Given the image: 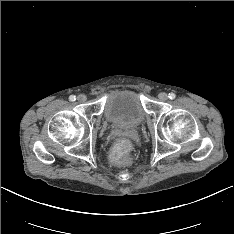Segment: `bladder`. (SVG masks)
<instances>
[{"label":"bladder","mask_w":234,"mask_h":234,"mask_svg":"<svg viewBox=\"0 0 234 234\" xmlns=\"http://www.w3.org/2000/svg\"><path fill=\"white\" fill-rule=\"evenodd\" d=\"M103 115L109 123L121 129L140 126L146 116L139 95L131 90L110 93L104 103Z\"/></svg>","instance_id":"31cf9c89"}]
</instances>
